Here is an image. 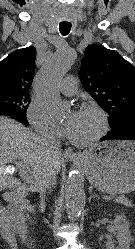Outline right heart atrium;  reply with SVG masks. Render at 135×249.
<instances>
[{"mask_svg":"<svg viewBox=\"0 0 135 249\" xmlns=\"http://www.w3.org/2000/svg\"><path fill=\"white\" fill-rule=\"evenodd\" d=\"M26 115L30 125L39 134L62 136L63 128L51 118L44 105L38 100L31 101Z\"/></svg>","mask_w":135,"mask_h":249,"instance_id":"d8ad5b80","label":"right heart atrium"}]
</instances>
